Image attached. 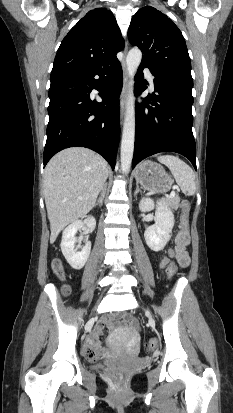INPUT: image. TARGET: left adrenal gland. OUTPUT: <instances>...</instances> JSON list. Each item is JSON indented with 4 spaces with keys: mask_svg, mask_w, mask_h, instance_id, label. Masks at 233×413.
Masks as SVG:
<instances>
[{
    "mask_svg": "<svg viewBox=\"0 0 233 413\" xmlns=\"http://www.w3.org/2000/svg\"><path fill=\"white\" fill-rule=\"evenodd\" d=\"M140 191H141V190H140V188H139V185H138V183H136V190H135V192H134V197H136L137 194H138Z\"/></svg>",
    "mask_w": 233,
    "mask_h": 413,
    "instance_id": "obj_1",
    "label": "left adrenal gland"
}]
</instances>
